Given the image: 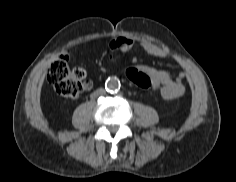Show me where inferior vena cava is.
Masks as SVG:
<instances>
[{
	"label": "inferior vena cava",
	"instance_id": "obj_1",
	"mask_svg": "<svg viewBox=\"0 0 236 182\" xmlns=\"http://www.w3.org/2000/svg\"><path fill=\"white\" fill-rule=\"evenodd\" d=\"M103 94H105V90L103 88H100V89L95 91L96 96H100V95H103Z\"/></svg>",
	"mask_w": 236,
	"mask_h": 182
}]
</instances>
